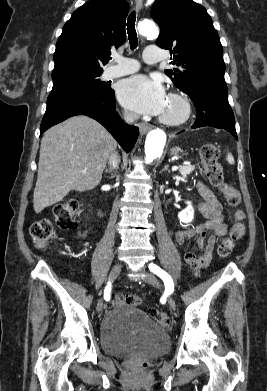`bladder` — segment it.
<instances>
[{"label":"bladder","instance_id":"bladder-1","mask_svg":"<svg viewBox=\"0 0 267 391\" xmlns=\"http://www.w3.org/2000/svg\"><path fill=\"white\" fill-rule=\"evenodd\" d=\"M103 350L111 355L156 357L170 347L168 333L139 308L120 304L110 309L100 326Z\"/></svg>","mask_w":267,"mask_h":391}]
</instances>
